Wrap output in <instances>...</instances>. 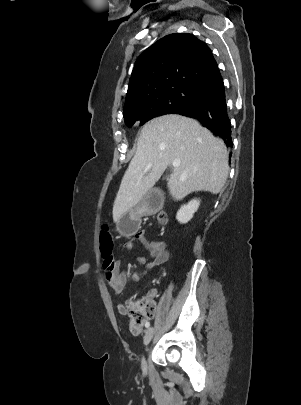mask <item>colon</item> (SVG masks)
Returning a JSON list of instances; mask_svg holds the SVG:
<instances>
[{
    "mask_svg": "<svg viewBox=\"0 0 301 405\" xmlns=\"http://www.w3.org/2000/svg\"><path fill=\"white\" fill-rule=\"evenodd\" d=\"M167 221V216L164 213L157 215V222L164 224ZM113 239L111 232L107 226H103L100 231V251L104 260V265L109 266L113 261ZM127 313L130 318V329L134 333L140 332L144 321L154 315V305L149 301H133L130 300L126 304Z\"/></svg>",
    "mask_w": 301,
    "mask_h": 405,
    "instance_id": "5ec220e1",
    "label": "colon"
}]
</instances>
